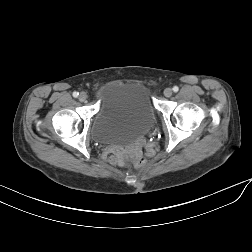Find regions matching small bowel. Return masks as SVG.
<instances>
[{
	"label": "small bowel",
	"instance_id": "c3829d8e",
	"mask_svg": "<svg viewBox=\"0 0 252 252\" xmlns=\"http://www.w3.org/2000/svg\"><path fill=\"white\" fill-rule=\"evenodd\" d=\"M142 142H139L136 146V152L140 153L142 149ZM130 154V150H118L114 149L111 151V158L116 162H121L123 158H126Z\"/></svg>",
	"mask_w": 252,
	"mask_h": 252
}]
</instances>
